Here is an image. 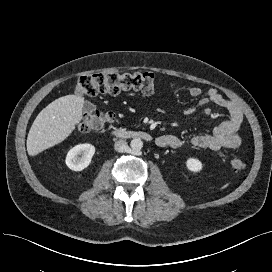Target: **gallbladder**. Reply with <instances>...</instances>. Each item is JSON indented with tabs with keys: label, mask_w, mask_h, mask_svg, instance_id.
I'll return each mask as SVG.
<instances>
[{
	"label": "gallbladder",
	"mask_w": 272,
	"mask_h": 272,
	"mask_svg": "<svg viewBox=\"0 0 272 272\" xmlns=\"http://www.w3.org/2000/svg\"><path fill=\"white\" fill-rule=\"evenodd\" d=\"M96 109V106L91 102L84 103V111L88 113H92Z\"/></svg>",
	"instance_id": "1"
}]
</instances>
